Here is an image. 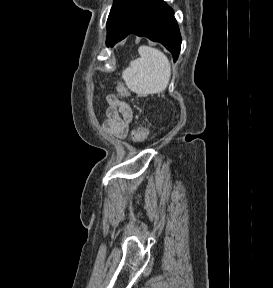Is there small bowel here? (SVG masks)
Returning <instances> with one entry per match:
<instances>
[{
	"label": "small bowel",
	"mask_w": 273,
	"mask_h": 288,
	"mask_svg": "<svg viewBox=\"0 0 273 288\" xmlns=\"http://www.w3.org/2000/svg\"><path fill=\"white\" fill-rule=\"evenodd\" d=\"M104 130L111 136L123 139L127 136L133 119L130 105L116 95L106 96Z\"/></svg>",
	"instance_id": "c3829d8e"
}]
</instances>
